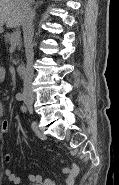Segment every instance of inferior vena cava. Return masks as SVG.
Returning a JSON list of instances; mask_svg holds the SVG:
<instances>
[{
	"label": "inferior vena cava",
	"instance_id": "1",
	"mask_svg": "<svg viewBox=\"0 0 119 185\" xmlns=\"http://www.w3.org/2000/svg\"><path fill=\"white\" fill-rule=\"evenodd\" d=\"M25 4V16L22 23L23 35H24V46L25 53L27 59L26 71L23 77V97L25 99H34V93L32 88V80H33V60H34V52H33V20L34 13L30 9L29 1L23 0Z\"/></svg>",
	"mask_w": 119,
	"mask_h": 185
}]
</instances>
